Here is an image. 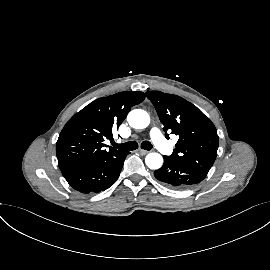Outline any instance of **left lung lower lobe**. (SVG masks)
Listing matches in <instances>:
<instances>
[{
  "mask_svg": "<svg viewBox=\"0 0 270 270\" xmlns=\"http://www.w3.org/2000/svg\"><path fill=\"white\" fill-rule=\"evenodd\" d=\"M163 166L154 171V176L159 181L177 188L187 189L205 179L207 173L170 156H163Z\"/></svg>",
  "mask_w": 270,
  "mask_h": 270,
  "instance_id": "0a47b994",
  "label": "left lung lower lobe"
}]
</instances>
